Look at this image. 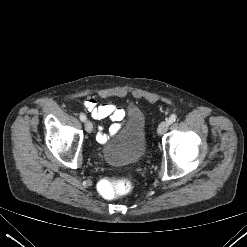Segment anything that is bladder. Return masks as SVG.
I'll return each mask as SVG.
<instances>
[{
    "instance_id": "obj_1",
    "label": "bladder",
    "mask_w": 247,
    "mask_h": 247,
    "mask_svg": "<svg viewBox=\"0 0 247 247\" xmlns=\"http://www.w3.org/2000/svg\"><path fill=\"white\" fill-rule=\"evenodd\" d=\"M147 149L146 120L135 107L129 109L124 126L103 147V158L112 166L140 161Z\"/></svg>"
}]
</instances>
